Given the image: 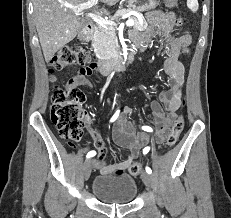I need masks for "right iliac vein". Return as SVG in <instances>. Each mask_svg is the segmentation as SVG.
Segmentation results:
<instances>
[{
  "label": "right iliac vein",
  "instance_id": "right-iliac-vein-1",
  "mask_svg": "<svg viewBox=\"0 0 231 218\" xmlns=\"http://www.w3.org/2000/svg\"><path fill=\"white\" fill-rule=\"evenodd\" d=\"M91 170H92V160L87 159L83 165V177L85 180H88V178L90 177Z\"/></svg>",
  "mask_w": 231,
  "mask_h": 218
}]
</instances>
